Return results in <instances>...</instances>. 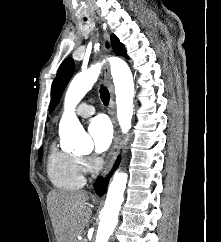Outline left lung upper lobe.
Listing matches in <instances>:
<instances>
[{"mask_svg": "<svg viewBox=\"0 0 221 242\" xmlns=\"http://www.w3.org/2000/svg\"><path fill=\"white\" fill-rule=\"evenodd\" d=\"M111 43L114 52L117 55L124 56L127 58V54L124 45L119 42V39L112 34ZM75 69L74 61L72 58L66 59L59 67L56 78L53 81L51 89V103L49 111L52 112L59 102L61 95L69 82L71 76L73 75Z\"/></svg>", "mask_w": 221, "mask_h": 242, "instance_id": "1", "label": "left lung upper lobe"}]
</instances>
